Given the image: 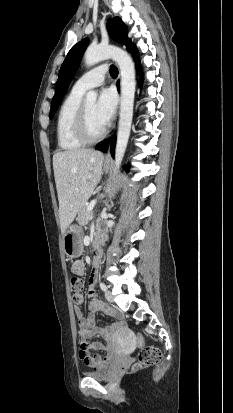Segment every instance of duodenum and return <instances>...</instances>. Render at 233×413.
<instances>
[{
    "label": "duodenum",
    "instance_id": "duodenum-1",
    "mask_svg": "<svg viewBox=\"0 0 233 413\" xmlns=\"http://www.w3.org/2000/svg\"><path fill=\"white\" fill-rule=\"evenodd\" d=\"M104 241V237L102 234H97L93 240V247L95 249V258L93 261L94 268L97 269L101 265V252L100 246Z\"/></svg>",
    "mask_w": 233,
    "mask_h": 413
}]
</instances>
